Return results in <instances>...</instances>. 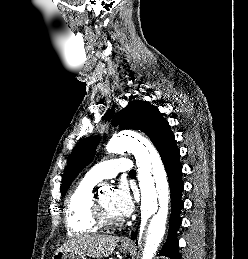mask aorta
Wrapping results in <instances>:
<instances>
[{
    "instance_id": "1",
    "label": "aorta",
    "mask_w": 248,
    "mask_h": 259,
    "mask_svg": "<svg viewBox=\"0 0 248 259\" xmlns=\"http://www.w3.org/2000/svg\"><path fill=\"white\" fill-rule=\"evenodd\" d=\"M106 150L132 151L136 157L141 192L140 235H145L142 259H153L165 234L169 204L167 175L161 158L151 142L137 134L113 136Z\"/></svg>"
}]
</instances>
